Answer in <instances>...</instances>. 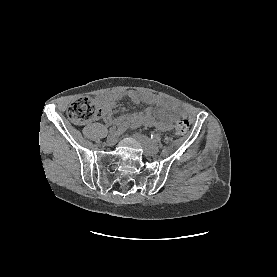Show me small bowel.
Here are the masks:
<instances>
[{"label": "small bowel", "instance_id": "small-bowel-1", "mask_svg": "<svg viewBox=\"0 0 277 277\" xmlns=\"http://www.w3.org/2000/svg\"><path fill=\"white\" fill-rule=\"evenodd\" d=\"M127 96L133 102L144 101L151 105V107L144 111H134L113 118L112 108L114 103L122 99L124 94L121 92L109 93L100 99L106 109V113L103 116L105 122L119 125L129 121L135 125H154L161 130H167L170 127L174 115L169 114V111H172L174 106L168 100L151 94H140L136 91H129Z\"/></svg>", "mask_w": 277, "mask_h": 277}]
</instances>
